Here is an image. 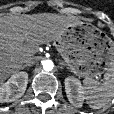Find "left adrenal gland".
<instances>
[{
  "mask_svg": "<svg viewBox=\"0 0 114 114\" xmlns=\"http://www.w3.org/2000/svg\"><path fill=\"white\" fill-rule=\"evenodd\" d=\"M60 65H61L60 68L62 69L64 67V63L61 61Z\"/></svg>",
  "mask_w": 114,
  "mask_h": 114,
  "instance_id": "1",
  "label": "left adrenal gland"
}]
</instances>
